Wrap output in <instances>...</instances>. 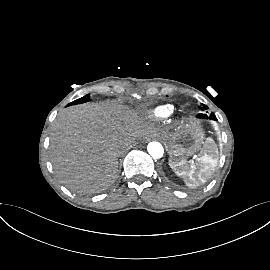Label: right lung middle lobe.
<instances>
[{
	"instance_id": "1",
	"label": "right lung middle lobe",
	"mask_w": 270,
	"mask_h": 270,
	"mask_svg": "<svg viewBox=\"0 0 270 270\" xmlns=\"http://www.w3.org/2000/svg\"><path fill=\"white\" fill-rule=\"evenodd\" d=\"M89 100H90V95L87 94V95H85L84 97H82V98H80V99H77V100L71 102L70 104H68V106H69V105H75V104L84 103V102H87V101H89Z\"/></svg>"
}]
</instances>
